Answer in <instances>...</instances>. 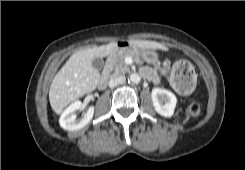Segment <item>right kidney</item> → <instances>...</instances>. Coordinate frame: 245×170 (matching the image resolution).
<instances>
[{
    "label": "right kidney",
    "mask_w": 245,
    "mask_h": 170,
    "mask_svg": "<svg viewBox=\"0 0 245 170\" xmlns=\"http://www.w3.org/2000/svg\"><path fill=\"white\" fill-rule=\"evenodd\" d=\"M81 107V101L76 100L64 110L59 119V124L63 129L68 131L79 130L91 121L94 107L90 106L82 118H77L76 111L81 109Z\"/></svg>",
    "instance_id": "1"
}]
</instances>
